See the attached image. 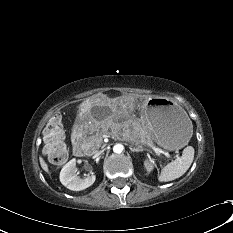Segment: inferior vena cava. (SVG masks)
<instances>
[{
	"label": "inferior vena cava",
	"mask_w": 233,
	"mask_h": 233,
	"mask_svg": "<svg viewBox=\"0 0 233 233\" xmlns=\"http://www.w3.org/2000/svg\"><path fill=\"white\" fill-rule=\"evenodd\" d=\"M101 153H103V150L97 151V152L95 153V156H99Z\"/></svg>",
	"instance_id": "1"
}]
</instances>
